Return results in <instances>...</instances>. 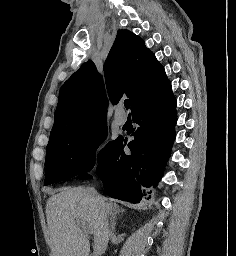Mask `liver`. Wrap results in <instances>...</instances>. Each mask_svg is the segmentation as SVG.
Wrapping results in <instances>:
<instances>
[{"label":"liver","instance_id":"1","mask_svg":"<svg viewBox=\"0 0 236 256\" xmlns=\"http://www.w3.org/2000/svg\"><path fill=\"white\" fill-rule=\"evenodd\" d=\"M58 192L46 204L52 256H90L89 240L76 226V220H83L94 234L93 256L105 254L109 240L106 224L115 206L91 194L89 188H59Z\"/></svg>","mask_w":236,"mask_h":256}]
</instances>
